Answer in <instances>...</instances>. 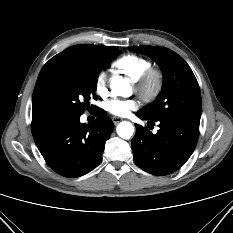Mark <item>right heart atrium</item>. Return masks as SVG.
Here are the masks:
<instances>
[{"label":"right heart atrium","mask_w":233,"mask_h":233,"mask_svg":"<svg viewBox=\"0 0 233 233\" xmlns=\"http://www.w3.org/2000/svg\"><path fill=\"white\" fill-rule=\"evenodd\" d=\"M95 91L100 96H105L107 94V73L104 70L96 75Z\"/></svg>","instance_id":"obj_1"}]
</instances>
